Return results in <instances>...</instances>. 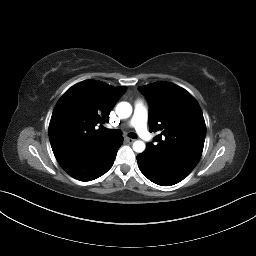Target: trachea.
<instances>
[{"label": "trachea", "instance_id": "obj_1", "mask_svg": "<svg viewBox=\"0 0 256 256\" xmlns=\"http://www.w3.org/2000/svg\"><path fill=\"white\" fill-rule=\"evenodd\" d=\"M106 131L113 134V135H120L121 134V131L119 129H107ZM129 137H131L133 139H136L137 135L135 133L131 132V133H129Z\"/></svg>", "mask_w": 256, "mask_h": 256}]
</instances>
